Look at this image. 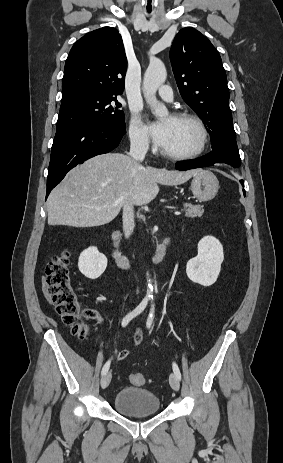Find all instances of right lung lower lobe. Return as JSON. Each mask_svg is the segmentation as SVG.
I'll list each match as a JSON object with an SVG mask.
<instances>
[{
    "label": "right lung lower lobe",
    "mask_w": 283,
    "mask_h": 463,
    "mask_svg": "<svg viewBox=\"0 0 283 463\" xmlns=\"http://www.w3.org/2000/svg\"><path fill=\"white\" fill-rule=\"evenodd\" d=\"M125 129L98 123H82L57 130L51 148L46 199L50 191L77 164L115 149Z\"/></svg>",
    "instance_id": "98d812e1"
}]
</instances>
